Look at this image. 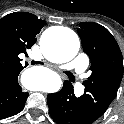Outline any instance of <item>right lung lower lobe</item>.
I'll return each instance as SVG.
<instances>
[{"instance_id": "1", "label": "right lung lower lobe", "mask_w": 124, "mask_h": 124, "mask_svg": "<svg viewBox=\"0 0 124 124\" xmlns=\"http://www.w3.org/2000/svg\"><path fill=\"white\" fill-rule=\"evenodd\" d=\"M28 93L22 92L18 77L0 80V119L8 118L23 110Z\"/></svg>"}]
</instances>
